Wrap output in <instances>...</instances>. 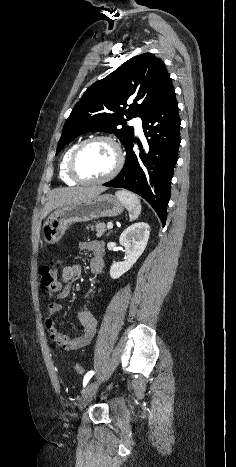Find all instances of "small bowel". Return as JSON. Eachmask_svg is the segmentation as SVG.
Returning <instances> with one entry per match:
<instances>
[{
    "mask_svg": "<svg viewBox=\"0 0 236 467\" xmlns=\"http://www.w3.org/2000/svg\"><path fill=\"white\" fill-rule=\"evenodd\" d=\"M79 250L89 254L90 269L93 273H99L104 267L105 248L101 241H87L79 244ZM82 273V267L79 263L65 266L61 271V281L56 282L54 287L49 290L50 297L58 299L67 298L72 290V285L77 281ZM61 310L57 303H49L47 306V316L45 318V327L51 341L66 351H74L86 346L93 338L96 330V319L88 310H81L77 317L82 327V332L75 338H70L61 334L55 325V316Z\"/></svg>",
    "mask_w": 236,
    "mask_h": 467,
    "instance_id": "1",
    "label": "small bowel"
}]
</instances>
